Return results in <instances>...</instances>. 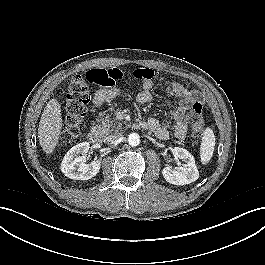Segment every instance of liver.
<instances>
[{
  "label": "liver",
  "mask_w": 265,
  "mask_h": 265,
  "mask_svg": "<svg viewBox=\"0 0 265 265\" xmlns=\"http://www.w3.org/2000/svg\"><path fill=\"white\" fill-rule=\"evenodd\" d=\"M62 129L61 107L57 99H51L39 122V143L46 154H51L58 144Z\"/></svg>",
  "instance_id": "liver-1"
}]
</instances>
